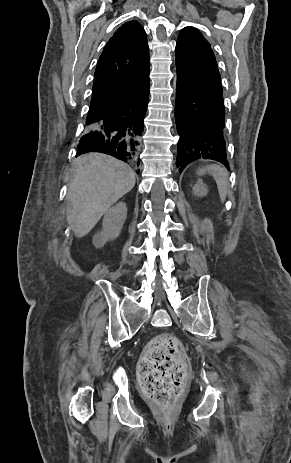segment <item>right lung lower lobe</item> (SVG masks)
Listing matches in <instances>:
<instances>
[{"mask_svg":"<svg viewBox=\"0 0 291 463\" xmlns=\"http://www.w3.org/2000/svg\"><path fill=\"white\" fill-rule=\"evenodd\" d=\"M149 99V84L125 99L121 106L87 125L77 156L100 152L139 170V147Z\"/></svg>","mask_w":291,"mask_h":463,"instance_id":"right-lung-lower-lobe-1","label":"right lung lower lobe"}]
</instances>
